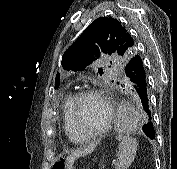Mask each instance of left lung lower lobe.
Segmentation results:
<instances>
[{
	"mask_svg": "<svg viewBox=\"0 0 177 169\" xmlns=\"http://www.w3.org/2000/svg\"><path fill=\"white\" fill-rule=\"evenodd\" d=\"M124 69L125 75L127 76V84L137 93L139 103L146 116V123L143 125L142 130L147 137L155 139V129L152 122L148 97L146 67L143 59L139 55L133 56L125 65Z\"/></svg>",
	"mask_w": 177,
	"mask_h": 169,
	"instance_id": "0a47b994",
	"label": "left lung lower lobe"
}]
</instances>
